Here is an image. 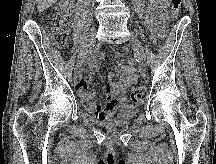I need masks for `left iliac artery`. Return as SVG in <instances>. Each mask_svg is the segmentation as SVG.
<instances>
[{
    "label": "left iliac artery",
    "instance_id": "1",
    "mask_svg": "<svg viewBox=\"0 0 216 164\" xmlns=\"http://www.w3.org/2000/svg\"><path fill=\"white\" fill-rule=\"evenodd\" d=\"M135 56H136V60H137L136 63L139 65V64L141 63V62L139 61V56H140V55H139L138 53H135Z\"/></svg>",
    "mask_w": 216,
    "mask_h": 164
}]
</instances>
